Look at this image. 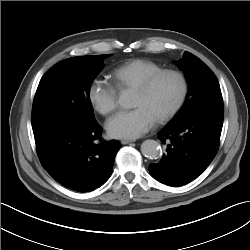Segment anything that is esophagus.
Here are the masks:
<instances>
[{"instance_id": "34e87169", "label": "esophagus", "mask_w": 250, "mask_h": 250, "mask_svg": "<svg viewBox=\"0 0 250 250\" xmlns=\"http://www.w3.org/2000/svg\"><path fill=\"white\" fill-rule=\"evenodd\" d=\"M136 140H134V139H122L121 140V143L123 144V145H125V144H129V143H132V142H135Z\"/></svg>"}]
</instances>
